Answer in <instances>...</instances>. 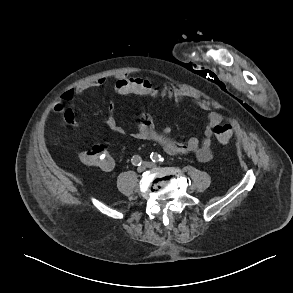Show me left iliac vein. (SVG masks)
<instances>
[{
	"instance_id": "left-iliac-vein-1",
	"label": "left iliac vein",
	"mask_w": 293,
	"mask_h": 293,
	"mask_svg": "<svg viewBox=\"0 0 293 293\" xmlns=\"http://www.w3.org/2000/svg\"><path fill=\"white\" fill-rule=\"evenodd\" d=\"M143 165L146 167V168H154L156 167V164H154L153 162H144Z\"/></svg>"
}]
</instances>
